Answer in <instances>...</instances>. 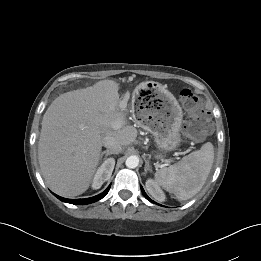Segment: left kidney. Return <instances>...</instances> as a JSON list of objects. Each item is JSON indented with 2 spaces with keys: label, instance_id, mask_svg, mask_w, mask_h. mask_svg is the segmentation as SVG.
Returning <instances> with one entry per match:
<instances>
[{
  "label": "left kidney",
  "instance_id": "obj_1",
  "mask_svg": "<svg viewBox=\"0 0 261 261\" xmlns=\"http://www.w3.org/2000/svg\"><path fill=\"white\" fill-rule=\"evenodd\" d=\"M146 189L149 192V194L155 198L156 200L163 202L165 201V194L164 192L160 189L159 185L157 182H155L153 179H148L146 181Z\"/></svg>",
  "mask_w": 261,
  "mask_h": 261
}]
</instances>
